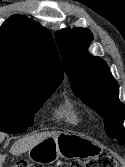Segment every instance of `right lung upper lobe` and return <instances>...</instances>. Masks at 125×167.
<instances>
[{
    "label": "right lung upper lobe",
    "instance_id": "1",
    "mask_svg": "<svg viewBox=\"0 0 125 167\" xmlns=\"http://www.w3.org/2000/svg\"><path fill=\"white\" fill-rule=\"evenodd\" d=\"M63 68L51 33L13 15L0 28V91L27 95L58 87Z\"/></svg>",
    "mask_w": 125,
    "mask_h": 167
}]
</instances>
